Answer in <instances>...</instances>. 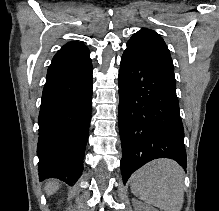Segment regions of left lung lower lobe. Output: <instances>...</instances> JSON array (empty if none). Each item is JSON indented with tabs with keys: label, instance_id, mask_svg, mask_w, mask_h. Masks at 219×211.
Returning <instances> with one entry per match:
<instances>
[{
	"label": "left lung lower lobe",
	"instance_id": "0a47b994",
	"mask_svg": "<svg viewBox=\"0 0 219 211\" xmlns=\"http://www.w3.org/2000/svg\"><path fill=\"white\" fill-rule=\"evenodd\" d=\"M119 98L123 182L157 158L174 159L186 168L175 76L124 51L119 70Z\"/></svg>",
	"mask_w": 219,
	"mask_h": 211
}]
</instances>
